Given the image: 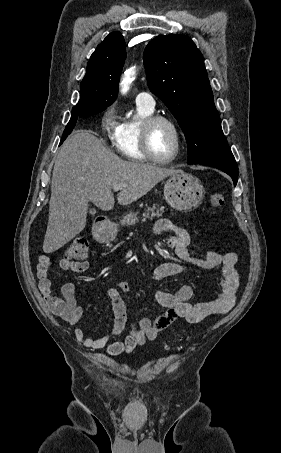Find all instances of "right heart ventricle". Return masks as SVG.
<instances>
[{"mask_svg": "<svg viewBox=\"0 0 281 453\" xmlns=\"http://www.w3.org/2000/svg\"><path fill=\"white\" fill-rule=\"evenodd\" d=\"M136 104V115H125L120 122L114 147L122 158L142 161L148 160L142 150V126L147 118L154 116V107H148L145 102H138L137 100Z\"/></svg>", "mask_w": 281, "mask_h": 453, "instance_id": "1", "label": "right heart ventricle"}]
</instances>
